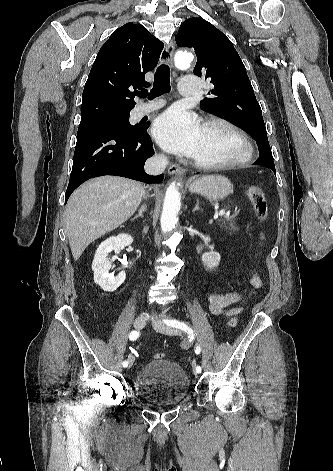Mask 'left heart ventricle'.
<instances>
[{
	"instance_id": "1",
	"label": "left heart ventricle",
	"mask_w": 333,
	"mask_h": 471,
	"mask_svg": "<svg viewBox=\"0 0 333 471\" xmlns=\"http://www.w3.org/2000/svg\"><path fill=\"white\" fill-rule=\"evenodd\" d=\"M240 152L238 139L221 126L202 127L201 139L194 156L203 162H219L232 159Z\"/></svg>"
}]
</instances>
